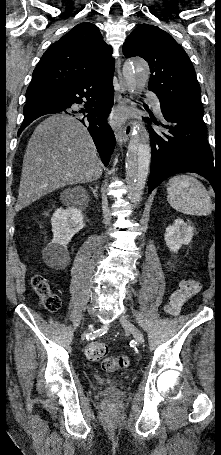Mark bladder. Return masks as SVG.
Returning <instances> with one entry per match:
<instances>
[{
    "label": "bladder",
    "mask_w": 221,
    "mask_h": 455,
    "mask_svg": "<svg viewBox=\"0 0 221 455\" xmlns=\"http://www.w3.org/2000/svg\"><path fill=\"white\" fill-rule=\"evenodd\" d=\"M99 383L101 384H106V385H112L115 384L117 381L113 379H99Z\"/></svg>",
    "instance_id": "obj_1"
}]
</instances>
